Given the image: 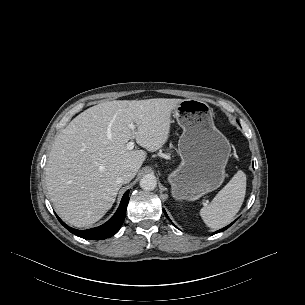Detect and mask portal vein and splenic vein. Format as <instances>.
Wrapping results in <instances>:
<instances>
[{
  "mask_svg": "<svg viewBox=\"0 0 305 305\" xmlns=\"http://www.w3.org/2000/svg\"><path fill=\"white\" fill-rule=\"evenodd\" d=\"M129 127H130L132 130H134L135 127H136V125H134L133 123H131V124L129 125ZM134 145H135L134 142H133V141H130V142L127 143L126 148H127L128 150H132V149L134 148Z\"/></svg>",
  "mask_w": 305,
  "mask_h": 305,
  "instance_id": "18ae733b",
  "label": "portal vein and splenic vein"
}]
</instances>
